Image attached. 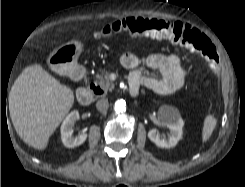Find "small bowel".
Here are the masks:
<instances>
[{
	"label": "small bowel",
	"instance_id": "obj_1",
	"mask_svg": "<svg viewBox=\"0 0 245 187\" xmlns=\"http://www.w3.org/2000/svg\"><path fill=\"white\" fill-rule=\"evenodd\" d=\"M121 64L130 71L132 94L138 93L140 86L159 94L173 93L182 87L188 74L182 68L179 57L174 54H151L140 58L133 53H125L121 57Z\"/></svg>",
	"mask_w": 245,
	"mask_h": 187
}]
</instances>
